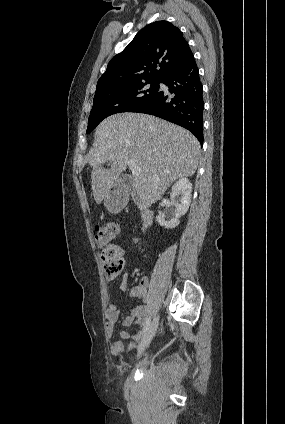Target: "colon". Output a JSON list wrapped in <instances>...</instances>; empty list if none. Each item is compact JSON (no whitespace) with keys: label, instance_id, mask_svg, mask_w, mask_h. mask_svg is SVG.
<instances>
[{"label":"colon","instance_id":"obj_1","mask_svg":"<svg viewBox=\"0 0 285 424\" xmlns=\"http://www.w3.org/2000/svg\"><path fill=\"white\" fill-rule=\"evenodd\" d=\"M119 232L120 225L116 222L94 227L95 243L103 249L101 260L108 278L116 277L124 266L123 252L113 243Z\"/></svg>","mask_w":285,"mask_h":424}]
</instances>
